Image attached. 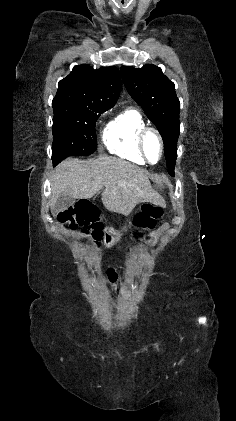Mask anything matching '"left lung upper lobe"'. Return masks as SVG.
I'll list each match as a JSON object with an SVG mask.
<instances>
[{
    "label": "left lung upper lobe",
    "instance_id": "5c2ea615",
    "mask_svg": "<svg viewBox=\"0 0 236 421\" xmlns=\"http://www.w3.org/2000/svg\"><path fill=\"white\" fill-rule=\"evenodd\" d=\"M123 82L131 97L141 105L147 117L160 132L165 157L169 164H176L177 140L180 132V102L175 85L162 70L152 64L142 68L121 67Z\"/></svg>",
    "mask_w": 236,
    "mask_h": 421
}]
</instances>
